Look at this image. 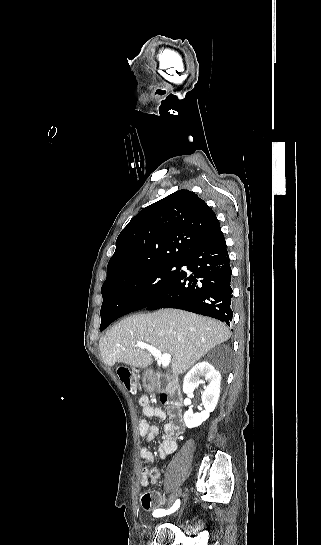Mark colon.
Here are the masks:
<instances>
[{
    "mask_svg": "<svg viewBox=\"0 0 321 545\" xmlns=\"http://www.w3.org/2000/svg\"><path fill=\"white\" fill-rule=\"evenodd\" d=\"M117 373L127 391L135 394L137 392V383L132 372L127 368H119ZM140 500L145 510H158L166 503V500L159 493L149 490L142 492Z\"/></svg>",
    "mask_w": 321,
    "mask_h": 545,
    "instance_id": "1",
    "label": "colon"
}]
</instances>
